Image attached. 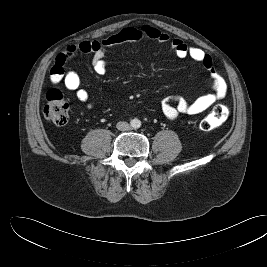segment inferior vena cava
<instances>
[{"label":"inferior vena cava","instance_id":"obj_1","mask_svg":"<svg viewBox=\"0 0 267 267\" xmlns=\"http://www.w3.org/2000/svg\"><path fill=\"white\" fill-rule=\"evenodd\" d=\"M116 127L120 131H128L130 129V125L125 121H119Z\"/></svg>","mask_w":267,"mask_h":267}]
</instances>
